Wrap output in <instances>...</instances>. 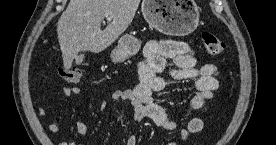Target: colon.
<instances>
[{"mask_svg": "<svg viewBox=\"0 0 276 145\" xmlns=\"http://www.w3.org/2000/svg\"><path fill=\"white\" fill-rule=\"evenodd\" d=\"M202 41L206 51L210 55H219L225 49L224 43L214 34L203 33ZM60 75L70 83H79L82 79L83 72L79 68H72L69 70H61Z\"/></svg>", "mask_w": 276, "mask_h": 145, "instance_id": "1", "label": "colon"}]
</instances>
